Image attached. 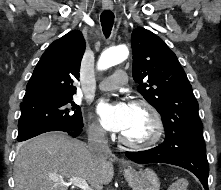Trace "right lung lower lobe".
<instances>
[{"label":"right lung lower lobe","mask_w":221,"mask_h":190,"mask_svg":"<svg viewBox=\"0 0 221 190\" xmlns=\"http://www.w3.org/2000/svg\"><path fill=\"white\" fill-rule=\"evenodd\" d=\"M63 132L68 133L72 137H77L82 132V129L77 130V131H63Z\"/></svg>","instance_id":"98d812e1"}]
</instances>
